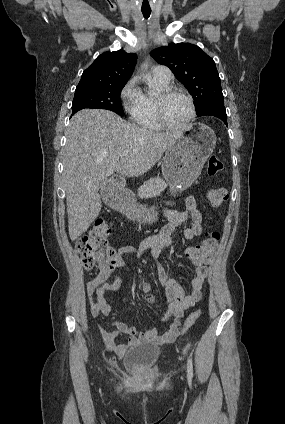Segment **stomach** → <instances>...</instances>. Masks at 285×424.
I'll use <instances>...</instances> for the list:
<instances>
[{
	"label": "stomach",
	"mask_w": 285,
	"mask_h": 424,
	"mask_svg": "<svg viewBox=\"0 0 285 424\" xmlns=\"http://www.w3.org/2000/svg\"><path fill=\"white\" fill-rule=\"evenodd\" d=\"M188 133L176 140L162 161V175L172 193L192 185L216 145L214 131L205 124H192ZM115 206L130 217H142L146 222L155 220L157 215L154 207L139 205L133 198L120 196Z\"/></svg>",
	"instance_id": "1"
}]
</instances>
